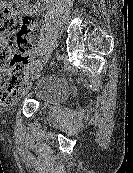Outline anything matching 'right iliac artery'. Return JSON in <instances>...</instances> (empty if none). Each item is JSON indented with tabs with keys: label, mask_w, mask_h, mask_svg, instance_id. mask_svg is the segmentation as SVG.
I'll list each match as a JSON object with an SVG mask.
<instances>
[{
	"label": "right iliac artery",
	"mask_w": 133,
	"mask_h": 173,
	"mask_svg": "<svg viewBox=\"0 0 133 173\" xmlns=\"http://www.w3.org/2000/svg\"><path fill=\"white\" fill-rule=\"evenodd\" d=\"M49 58V55H46L45 56V59ZM38 63H40V60H36V61H32L28 66L27 68L28 69H32L35 65H37Z\"/></svg>",
	"instance_id": "82829eb1"
}]
</instances>
